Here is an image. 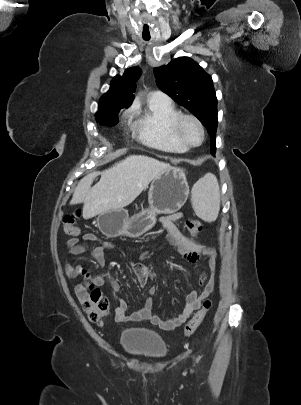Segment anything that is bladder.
Masks as SVG:
<instances>
[{
    "instance_id": "31cf9c89",
    "label": "bladder",
    "mask_w": 301,
    "mask_h": 405,
    "mask_svg": "<svg viewBox=\"0 0 301 405\" xmlns=\"http://www.w3.org/2000/svg\"><path fill=\"white\" fill-rule=\"evenodd\" d=\"M120 343L128 354L146 359L158 360L167 353L162 337L147 328L132 327L124 330Z\"/></svg>"
}]
</instances>
